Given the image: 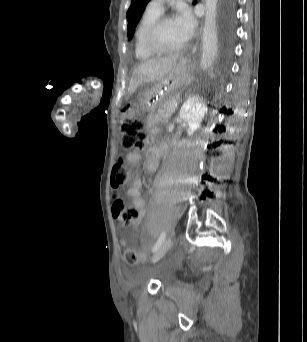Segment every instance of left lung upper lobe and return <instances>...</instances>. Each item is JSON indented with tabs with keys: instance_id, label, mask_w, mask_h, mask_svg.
<instances>
[{
	"instance_id": "obj_1",
	"label": "left lung upper lobe",
	"mask_w": 307,
	"mask_h": 342,
	"mask_svg": "<svg viewBox=\"0 0 307 342\" xmlns=\"http://www.w3.org/2000/svg\"><path fill=\"white\" fill-rule=\"evenodd\" d=\"M150 0H132L131 6L127 12L128 20V38L131 39L135 27L139 22L142 13ZM220 9V33H221V47L223 51L230 50V43L233 36V20L234 13L231 0H222Z\"/></svg>"
}]
</instances>
